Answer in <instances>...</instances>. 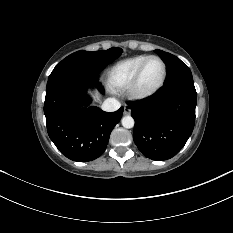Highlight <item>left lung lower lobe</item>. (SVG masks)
Masks as SVG:
<instances>
[{"label": "left lung lower lobe", "mask_w": 233, "mask_h": 233, "mask_svg": "<svg viewBox=\"0 0 233 233\" xmlns=\"http://www.w3.org/2000/svg\"><path fill=\"white\" fill-rule=\"evenodd\" d=\"M196 100L193 81L183 80L130 105L133 139L143 155L167 160L184 147L194 128Z\"/></svg>", "instance_id": "obj_1"}]
</instances>
